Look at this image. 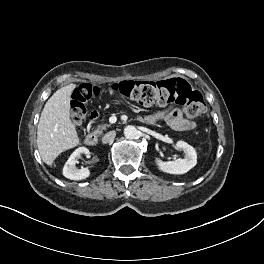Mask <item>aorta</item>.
I'll use <instances>...</instances> for the list:
<instances>
[{"mask_svg": "<svg viewBox=\"0 0 264 264\" xmlns=\"http://www.w3.org/2000/svg\"><path fill=\"white\" fill-rule=\"evenodd\" d=\"M124 136L127 139H135L138 137V131L134 126H127L124 129Z\"/></svg>", "mask_w": 264, "mask_h": 264, "instance_id": "obj_1", "label": "aorta"}]
</instances>
